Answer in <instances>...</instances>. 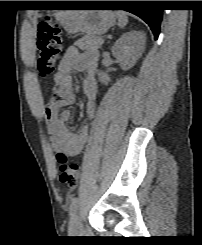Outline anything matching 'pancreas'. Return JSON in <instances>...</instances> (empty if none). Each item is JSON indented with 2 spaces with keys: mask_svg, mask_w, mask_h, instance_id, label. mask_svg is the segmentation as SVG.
Returning <instances> with one entry per match:
<instances>
[{
  "mask_svg": "<svg viewBox=\"0 0 202 245\" xmlns=\"http://www.w3.org/2000/svg\"><path fill=\"white\" fill-rule=\"evenodd\" d=\"M81 50H92L101 47L102 42L99 36L86 35L75 43Z\"/></svg>",
  "mask_w": 202,
  "mask_h": 245,
  "instance_id": "cf45deb5",
  "label": "pancreas"
}]
</instances>
